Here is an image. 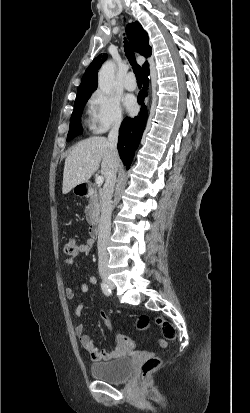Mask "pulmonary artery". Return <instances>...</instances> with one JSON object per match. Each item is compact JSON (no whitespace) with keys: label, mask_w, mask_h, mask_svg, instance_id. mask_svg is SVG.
Masks as SVG:
<instances>
[{"label":"pulmonary artery","mask_w":250,"mask_h":413,"mask_svg":"<svg viewBox=\"0 0 250 413\" xmlns=\"http://www.w3.org/2000/svg\"><path fill=\"white\" fill-rule=\"evenodd\" d=\"M124 87L129 91L136 89V81L133 73H128L126 75L124 79Z\"/></svg>","instance_id":"1"}]
</instances>
